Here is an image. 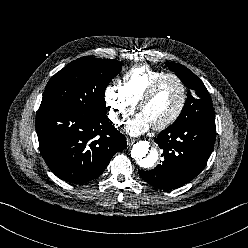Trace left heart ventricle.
Returning a JSON list of instances; mask_svg holds the SVG:
<instances>
[{
    "mask_svg": "<svg viewBox=\"0 0 248 248\" xmlns=\"http://www.w3.org/2000/svg\"><path fill=\"white\" fill-rule=\"evenodd\" d=\"M181 90L173 78H166L159 85L154 96L148 101L141 113L151 125H156L171 116L179 106Z\"/></svg>",
    "mask_w": 248,
    "mask_h": 248,
    "instance_id": "1",
    "label": "left heart ventricle"
}]
</instances>
